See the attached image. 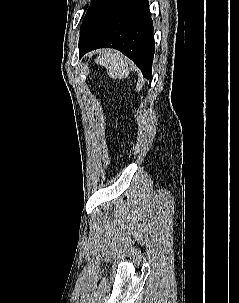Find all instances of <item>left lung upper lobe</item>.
I'll return each instance as SVG.
<instances>
[{
    "instance_id": "obj_1",
    "label": "left lung upper lobe",
    "mask_w": 239,
    "mask_h": 303,
    "mask_svg": "<svg viewBox=\"0 0 239 303\" xmlns=\"http://www.w3.org/2000/svg\"><path fill=\"white\" fill-rule=\"evenodd\" d=\"M117 0H92L90 7L88 8L86 15L83 19L81 30H80V40H79V50L83 40L86 36L93 31L112 8Z\"/></svg>"
}]
</instances>
